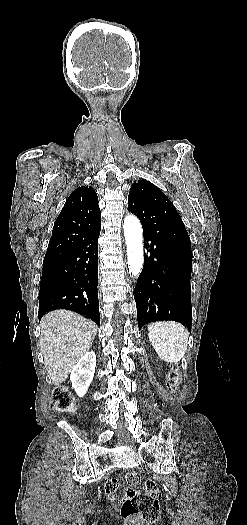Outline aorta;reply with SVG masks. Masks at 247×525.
<instances>
[{
    "instance_id": "1",
    "label": "aorta",
    "mask_w": 247,
    "mask_h": 525,
    "mask_svg": "<svg viewBox=\"0 0 247 525\" xmlns=\"http://www.w3.org/2000/svg\"><path fill=\"white\" fill-rule=\"evenodd\" d=\"M124 235L127 244L129 273L138 276L143 267V235L140 221L133 215L124 219Z\"/></svg>"
}]
</instances>
